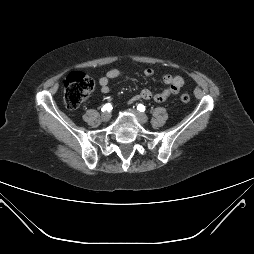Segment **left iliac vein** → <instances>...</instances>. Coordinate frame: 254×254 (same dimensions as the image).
Returning <instances> with one entry per match:
<instances>
[{"label":"left iliac vein","instance_id":"left-iliac-vein-1","mask_svg":"<svg viewBox=\"0 0 254 254\" xmlns=\"http://www.w3.org/2000/svg\"><path fill=\"white\" fill-rule=\"evenodd\" d=\"M130 111L139 119L141 123H147L148 122V117L136 109H130Z\"/></svg>","mask_w":254,"mask_h":254}]
</instances>
